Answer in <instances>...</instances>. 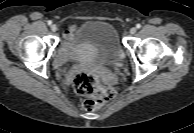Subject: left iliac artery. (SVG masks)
<instances>
[{
  "label": "left iliac artery",
  "mask_w": 194,
  "mask_h": 133,
  "mask_svg": "<svg viewBox=\"0 0 194 133\" xmlns=\"http://www.w3.org/2000/svg\"><path fill=\"white\" fill-rule=\"evenodd\" d=\"M136 27L139 29V28H141V25L140 24H137Z\"/></svg>",
  "instance_id": "obj_1"
}]
</instances>
